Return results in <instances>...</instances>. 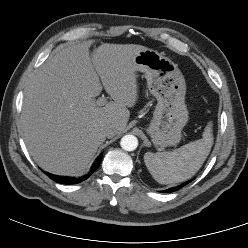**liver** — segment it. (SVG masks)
Returning a JSON list of instances; mask_svg holds the SVG:
<instances>
[{"instance_id": "1", "label": "liver", "mask_w": 248, "mask_h": 248, "mask_svg": "<svg viewBox=\"0 0 248 248\" xmlns=\"http://www.w3.org/2000/svg\"><path fill=\"white\" fill-rule=\"evenodd\" d=\"M89 48L87 42L59 46L25 88L22 136L34 161L53 174L86 173L106 139L104 127L124 131L128 107L138 100L135 57L148 48L103 43L91 56ZM103 87L113 101L100 107L94 98Z\"/></svg>"}]
</instances>
